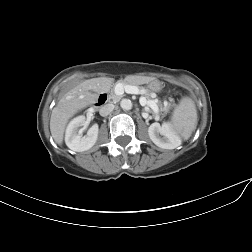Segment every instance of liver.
<instances>
[{
    "label": "liver",
    "mask_w": 252,
    "mask_h": 252,
    "mask_svg": "<svg viewBox=\"0 0 252 252\" xmlns=\"http://www.w3.org/2000/svg\"><path fill=\"white\" fill-rule=\"evenodd\" d=\"M149 77L127 76L125 81L130 84H143L149 82ZM112 78L100 77L85 80L66 93L52 110L50 118V131L54 141L63 143L66 125L76 113L92 105L97 100V94L108 91L113 83ZM91 91L95 92L92 93Z\"/></svg>",
    "instance_id": "6515ba94"
}]
</instances>
